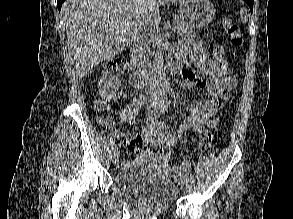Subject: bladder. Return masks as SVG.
I'll list each match as a JSON object with an SVG mask.
<instances>
[{"mask_svg": "<svg viewBox=\"0 0 293 219\" xmlns=\"http://www.w3.org/2000/svg\"><path fill=\"white\" fill-rule=\"evenodd\" d=\"M115 186L135 204L163 209L172 206L178 199L179 189L164 174H147L138 167L118 171Z\"/></svg>", "mask_w": 293, "mask_h": 219, "instance_id": "31cf9c89", "label": "bladder"}]
</instances>
